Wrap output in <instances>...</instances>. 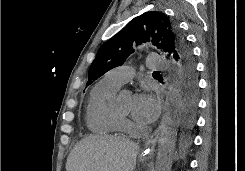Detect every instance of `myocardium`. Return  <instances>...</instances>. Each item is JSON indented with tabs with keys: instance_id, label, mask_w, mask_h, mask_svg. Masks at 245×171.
<instances>
[{
	"instance_id": "f54148a6",
	"label": "myocardium",
	"mask_w": 245,
	"mask_h": 171,
	"mask_svg": "<svg viewBox=\"0 0 245 171\" xmlns=\"http://www.w3.org/2000/svg\"><path fill=\"white\" fill-rule=\"evenodd\" d=\"M119 115L122 117V118H126L128 115L125 114V113H122L121 111L117 110Z\"/></svg>"
}]
</instances>
